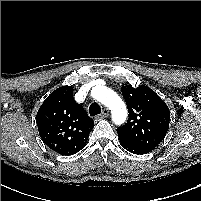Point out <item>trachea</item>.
Listing matches in <instances>:
<instances>
[{
    "mask_svg": "<svg viewBox=\"0 0 201 201\" xmlns=\"http://www.w3.org/2000/svg\"><path fill=\"white\" fill-rule=\"evenodd\" d=\"M101 113V107L98 103L94 102L89 107V114L91 116H96Z\"/></svg>",
    "mask_w": 201,
    "mask_h": 201,
    "instance_id": "obj_1",
    "label": "trachea"
}]
</instances>
